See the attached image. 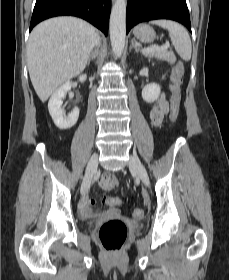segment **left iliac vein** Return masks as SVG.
<instances>
[{"mask_svg":"<svg viewBox=\"0 0 229 280\" xmlns=\"http://www.w3.org/2000/svg\"><path fill=\"white\" fill-rule=\"evenodd\" d=\"M129 168L130 170L135 171L137 173L139 178L146 186H149V178H148L147 171L144 165L140 162L138 157L136 156L130 157Z\"/></svg>","mask_w":229,"mask_h":280,"instance_id":"1","label":"left iliac vein"}]
</instances>
